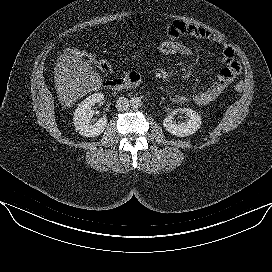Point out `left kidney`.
<instances>
[{
	"label": "left kidney",
	"instance_id": "left-kidney-1",
	"mask_svg": "<svg viewBox=\"0 0 272 272\" xmlns=\"http://www.w3.org/2000/svg\"><path fill=\"white\" fill-rule=\"evenodd\" d=\"M177 112H183L188 119L186 122L176 123L173 115ZM201 126V117L196 111L190 108H181L172 111L163 120V127L171 134L177 137H186L194 134Z\"/></svg>",
	"mask_w": 272,
	"mask_h": 272
}]
</instances>
